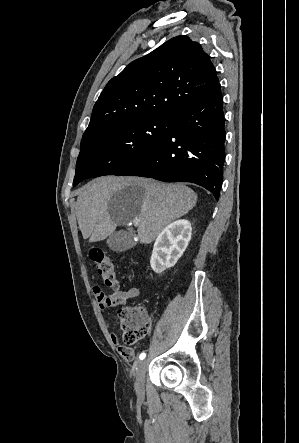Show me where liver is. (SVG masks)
Wrapping results in <instances>:
<instances>
[{"instance_id": "liver-1", "label": "liver", "mask_w": 299, "mask_h": 443, "mask_svg": "<svg viewBox=\"0 0 299 443\" xmlns=\"http://www.w3.org/2000/svg\"><path fill=\"white\" fill-rule=\"evenodd\" d=\"M197 202V194L181 184L149 178L106 176L94 179L80 191L76 216L84 239H106L117 226L138 218V239L150 244L174 220Z\"/></svg>"}]
</instances>
